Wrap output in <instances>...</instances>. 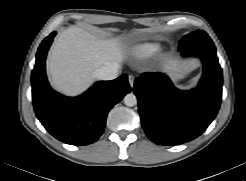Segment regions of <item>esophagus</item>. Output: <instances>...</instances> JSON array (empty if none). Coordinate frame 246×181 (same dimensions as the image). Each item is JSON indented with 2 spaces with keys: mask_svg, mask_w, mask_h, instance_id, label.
Masks as SVG:
<instances>
[{
  "mask_svg": "<svg viewBox=\"0 0 246 181\" xmlns=\"http://www.w3.org/2000/svg\"><path fill=\"white\" fill-rule=\"evenodd\" d=\"M135 77L133 75L128 76L129 85L133 87Z\"/></svg>",
  "mask_w": 246,
  "mask_h": 181,
  "instance_id": "1",
  "label": "esophagus"
}]
</instances>
